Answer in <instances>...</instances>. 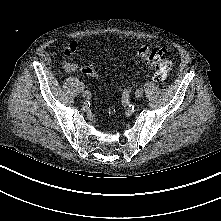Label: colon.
Instances as JSON below:
<instances>
[{
    "label": "colon",
    "mask_w": 221,
    "mask_h": 221,
    "mask_svg": "<svg viewBox=\"0 0 221 221\" xmlns=\"http://www.w3.org/2000/svg\"><path fill=\"white\" fill-rule=\"evenodd\" d=\"M137 56L142 63L152 68L154 79L157 81L164 80L171 70L172 61L163 49H151L148 46H141L137 50ZM82 72L89 78H97L95 69L90 65L83 67Z\"/></svg>",
    "instance_id": "1"
}]
</instances>
